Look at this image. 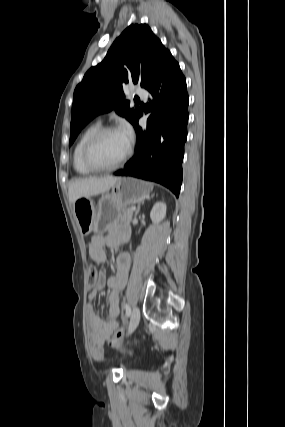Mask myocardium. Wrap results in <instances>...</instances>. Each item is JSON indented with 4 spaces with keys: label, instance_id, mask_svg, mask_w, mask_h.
Returning <instances> with one entry per match:
<instances>
[{
    "label": "myocardium",
    "instance_id": "obj_1",
    "mask_svg": "<svg viewBox=\"0 0 285 427\" xmlns=\"http://www.w3.org/2000/svg\"><path fill=\"white\" fill-rule=\"evenodd\" d=\"M118 131V128L115 126H105L101 127L95 134H93L88 141L85 143L82 151V160L84 164L91 170L97 172L110 171L122 166L132 155L133 145L132 142L129 144V147L126 153L115 163L110 165H101L98 164L93 158V151L96 145L100 140L108 133Z\"/></svg>",
    "mask_w": 285,
    "mask_h": 427
}]
</instances>
